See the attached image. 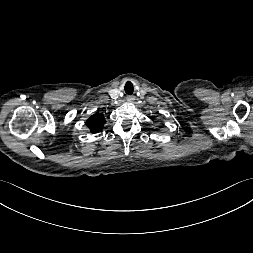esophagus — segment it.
<instances>
[{
	"instance_id": "esophagus-1",
	"label": "esophagus",
	"mask_w": 253,
	"mask_h": 253,
	"mask_svg": "<svg viewBox=\"0 0 253 253\" xmlns=\"http://www.w3.org/2000/svg\"><path fill=\"white\" fill-rule=\"evenodd\" d=\"M126 99H127V101L132 102V101L135 100V96H133V95H127Z\"/></svg>"
}]
</instances>
